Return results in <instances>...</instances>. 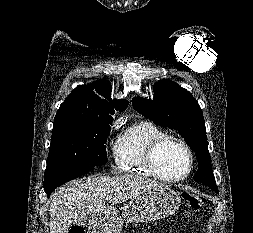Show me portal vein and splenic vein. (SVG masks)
I'll use <instances>...</instances> for the list:
<instances>
[{
  "instance_id": "obj_1",
  "label": "portal vein and splenic vein",
  "mask_w": 253,
  "mask_h": 233,
  "mask_svg": "<svg viewBox=\"0 0 253 233\" xmlns=\"http://www.w3.org/2000/svg\"><path fill=\"white\" fill-rule=\"evenodd\" d=\"M112 199V196L111 195H107L106 196V200H111Z\"/></svg>"
}]
</instances>
